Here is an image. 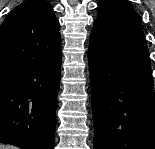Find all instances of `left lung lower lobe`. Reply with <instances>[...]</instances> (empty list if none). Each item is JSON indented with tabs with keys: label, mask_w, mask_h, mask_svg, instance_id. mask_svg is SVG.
<instances>
[{
	"label": "left lung lower lobe",
	"mask_w": 155,
	"mask_h": 149,
	"mask_svg": "<svg viewBox=\"0 0 155 149\" xmlns=\"http://www.w3.org/2000/svg\"><path fill=\"white\" fill-rule=\"evenodd\" d=\"M94 149H155V98L141 18L94 24L88 51Z\"/></svg>",
	"instance_id": "left-lung-lower-lobe-1"
}]
</instances>
